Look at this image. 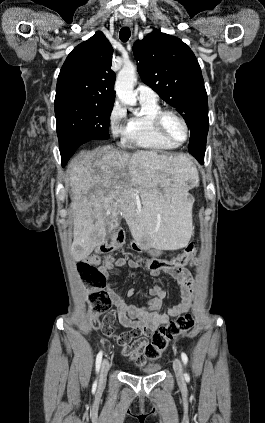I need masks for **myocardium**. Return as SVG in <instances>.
Segmentation results:
<instances>
[{
	"instance_id": "obj_1",
	"label": "myocardium",
	"mask_w": 265,
	"mask_h": 423,
	"mask_svg": "<svg viewBox=\"0 0 265 423\" xmlns=\"http://www.w3.org/2000/svg\"><path fill=\"white\" fill-rule=\"evenodd\" d=\"M174 116L175 118H177L183 125L184 129H185V137L183 140L181 141H177L175 139H173L168 132L166 131L165 128V119L167 116ZM154 127L156 129V131L158 132V134L165 139L166 141L175 144V145H182L184 144L190 136V128L189 125L187 123V121L185 120V118L178 113L177 111L173 110V109H161L159 112L156 113V115L154 116Z\"/></svg>"
}]
</instances>
